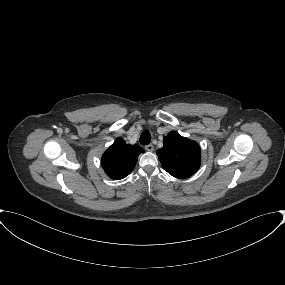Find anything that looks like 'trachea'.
<instances>
[{
  "label": "trachea",
  "instance_id": "obj_1",
  "mask_svg": "<svg viewBox=\"0 0 285 285\" xmlns=\"http://www.w3.org/2000/svg\"><path fill=\"white\" fill-rule=\"evenodd\" d=\"M151 141V134L148 130H145L140 136V143L148 145Z\"/></svg>",
  "mask_w": 285,
  "mask_h": 285
}]
</instances>
